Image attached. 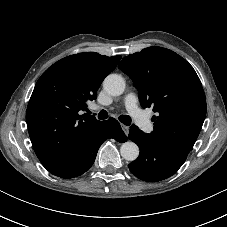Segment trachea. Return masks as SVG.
I'll list each match as a JSON object with an SVG mask.
<instances>
[{
  "mask_svg": "<svg viewBox=\"0 0 227 227\" xmlns=\"http://www.w3.org/2000/svg\"><path fill=\"white\" fill-rule=\"evenodd\" d=\"M98 119H107L108 118V113L105 110H101L99 114L97 115ZM119 121L122 122L125 125H130L131 124V118L128 115H121L119 116Z\"/></svg>",
  "mask_w": 227,
  "mask_h": 227,
  "instance_id": "1",
  "label": "trachea"
}]
</instances>
